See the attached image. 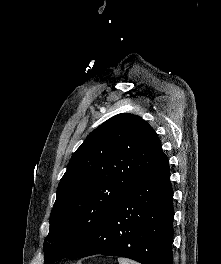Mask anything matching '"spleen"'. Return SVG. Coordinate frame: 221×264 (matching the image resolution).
I'll return each mask as SVG.
<instances>
[{
  "label": "spleen",
  "instance_id": "1",
  "mask_svg": "<svg viewBox=\"0 0 221 264\" xmlns=\"http://www.w3.org/2000/svg\"><path fill=\"white\" fill-rule=\"evenodd\" d=\"M118 262H119V264H139V263H137L135 261H132L130 259H126V258H123V257H119L118 258Z\"/></svg>",
  "mask_w": 221,
  "mask_h": 264
}]
</instances>
